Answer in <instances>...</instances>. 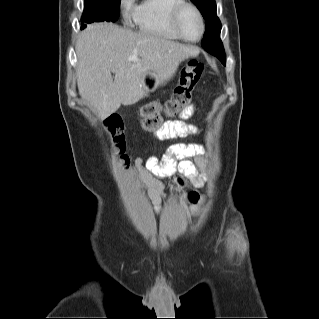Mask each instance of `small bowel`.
I'll use <instances>...</instances> for the list:
<instances>
[{"label":"small bowel","instance_id":"1","mask_svg":"<svg viewBox=\"0 0 319 319\" xmlns=\"http://www.w3.org/2000/svg\"><path fill=\"white\" fill-rule=\"evenodd\" d=\"M193 113L194 108L190 106L181 113L180 120L164 122L161 129L154 133L155 139L171 141L183 138L189 133H197L196 127L185 122ZM202 152L203 147L198 143H173L167 148L161 159L150 156L145 160L140 158L136 160V164L144 168L141 179L148 190L155 213L159 214L164 204V185L159 180L160 177L180 171L196 185L201 184V181L197 180V171L190 159L198 157Z\"/></svg>","mask_w":319,"mask_h":319}]
</instances>
